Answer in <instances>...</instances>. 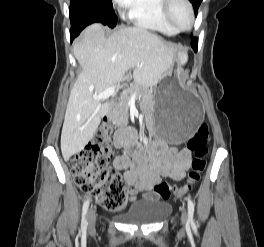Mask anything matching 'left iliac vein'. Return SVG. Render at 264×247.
I'll return each instance as SVG.
<instances>
[{"instance_id":"obj_1","label":"left iliac vein","mask_w":264,"mask_h":247,"mask_svg":"<svg viewBox=\"0 0 264 247\" xmlns=\"http://www.w3.org/2000/svg\"><path fill=\"white\" fill-rule=\"evenodd\" d=\"M181 211H182L181 222L183 224H186V222H187V211L184 207H182Z\"/></svg>"}]
</instances>
